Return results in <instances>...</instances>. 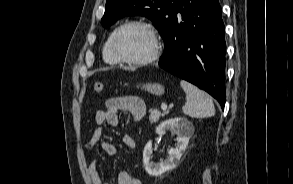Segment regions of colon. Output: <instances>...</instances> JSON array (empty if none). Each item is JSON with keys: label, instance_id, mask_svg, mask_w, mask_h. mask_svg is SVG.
Masks as SVG:
<instances>
[{"label": "colon", "instance_id": "obj_1", "mask_svg": "<svg viewBox=\"0 0 293 184\" xmlns=\"http://www.w3.org/2000/svg\"><path fill=\"white\" fill-rule=\"evenodd\" d=\"M104 90V84L101 83V82H96L94 85H93V91L95 93H101L102 91Z\"/></svg>", "mask_w": 293, "mask_h": 184}]
</instances>
